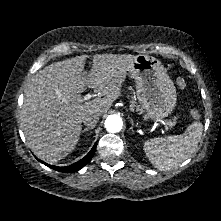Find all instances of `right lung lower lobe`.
I'll return each instance as SVG.
<instances>
[{"instance_id":"98d812e1","label":"right lung lower lobe","mask_w":221,"mask_h":221,"mask_svg":"<svg viewBox=\"0 0 221 221\" xmlns=\"http://www.w3.org/2000/svg\"><path fill=\"white\" fill-rule=\"evenodd\" d=\"M95 150H96V143L93 146V148L90 150V152L84 158H82L81 160H79L78 162L72 165L65 166V167L52 166L43 161H40V162L59 172H64V173L75 172L83 168L87 163H89V161L91 160V158L93 157L95 153Z\"/></svg>"}]
</instances>
